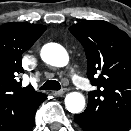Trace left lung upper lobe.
I'll return each mask as SVG.
<instances>
[{
	"instance_id": "5c2ea615",
	"label": "left lung upper lobe",
	"mask_w": 131,
	"mask_h": 131,
	"mask_svg": "<svg viewBox=\"0 0 131 131\" xmlns=\"http://www.w3.org/2000/svg\"><path fill=\"white\" fill-rule=\"evenodd\" d=\"M87 57V76L97 90L88 93L86 113L108 131L131 127V39L116 26L88 20L69 28Z\"/></svg>"
}]
</instances>
